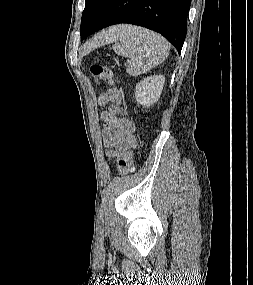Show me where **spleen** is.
I'll use <instances>...</instances> for the list:
<instances>
[{"label": "spleen", "mask_w": 253, "mask_h": 285, "mask_svg": "<svg viewBox=\"0 0 253 285\" xmlns=\"http://www.w3.org/2000/svg\"><path fill=\"white\" fill-rule=\"evenodd\" d=\"M113 50L130 59L127 73L138 76L149 72L169 55L170 44L161 35L136 26H128L113 38ZM120 41V43H117Z\"/></svg>", "instance_id": "obj_1"}]
</instances>
